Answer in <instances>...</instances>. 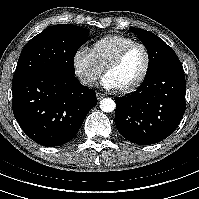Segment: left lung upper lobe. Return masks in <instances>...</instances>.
<instances>
[{"label": "left lung upper lobe", "instance_id": "5c2ea615", "mask_svg": "<svg viewBox=\"0 0 199 199\" xmlns=\"http://www.w3.org/2000/svg\"><path fill=\"white\" fill-rule=\"evenodd\" d=\"M145 45L149 55V65L146 76L163 66L164 64L177 60L178 57L173 49L155 34L143 29L129 28Z\"/></svg>", "mask_w": 199, "mask_h": 199}]
</instances>
